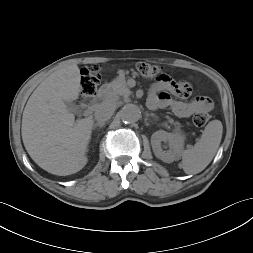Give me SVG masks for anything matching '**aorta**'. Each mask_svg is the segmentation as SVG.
<instances>
[{
  "label": "aorta",
  "instance_id": "aorta-1",
  "mask_svg": "<svg viewBox=\"0 0 253 253\" xmlns=\"http://www.w3.org/2000/svg\"><path fill=\"white\" fill-rule=\"evenodd\" d=\"M141 116L140 108L135 104H126L120 111V118L126 123H135Z\"/></svg>",
  "mask_w": 253,
  "mask_h": 253
}]
</instances>
